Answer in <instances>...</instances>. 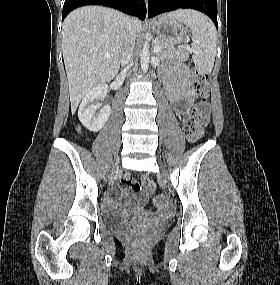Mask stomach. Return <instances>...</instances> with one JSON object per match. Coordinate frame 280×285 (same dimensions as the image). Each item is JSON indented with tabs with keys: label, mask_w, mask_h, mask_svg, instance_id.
Wrapping results in <instances>:
<instances>
[{
	"label": "stomach",
	"mask_w": 280,
	"mask_h": 285,
	"mask_svg": "<svg viewBox=\"0 0 280 285\" xmlns=\"http://www.w3.org/2000/svg\"><path fill=\"white\" fill-rule=\"evenodd\" d=\"M152 30L161 39L172 44L185 42L188 36V30L182 22L170 19L168 16H161L151 23Z\"/></svg>",
	"instance_id": "obj_1"
}]
</instances>
